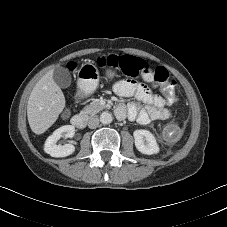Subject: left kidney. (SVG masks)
Returning <instances> with one entry per match:
<instances>
[{
	"instance_id": "1",
	"label": "left kidney",
	"mask_w": 227,
	"mask_h": 227,
	"mask_svg": "<svg viewBox=\"0 0 227 227\" xmlns=\"http://www.w3.org/2000/svg\"><path fill=\"white\" fill-rule=\"evenodd\" d=\"M135 146L139 152L147 155L157 154L159 146L154 135L148 130H135L133 133Z\"/></svg>"
}]
</instances>
